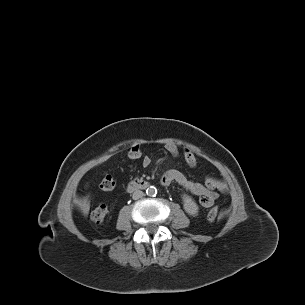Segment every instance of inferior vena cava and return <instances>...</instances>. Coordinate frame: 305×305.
<instances>
[{
	"label": "inferior vena cava",
	"instance_id": "obj_1",
	"mask_svg": "<svg viewBox=\"0 0 305 305\" xmlns=\"http://www.w3.org/2000/svg\"><path fill=\"white\" fill-rule=\"evenodd\" d=\"M143 196H144V193H143L142 191L136 190V191L133 193L132 198H133L134 200H138V199L142 198Z\"/></svg>",
	"mask_w": 305,
	"mask_h": 305
}]
</instances>
